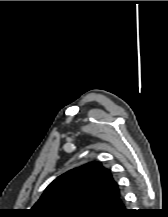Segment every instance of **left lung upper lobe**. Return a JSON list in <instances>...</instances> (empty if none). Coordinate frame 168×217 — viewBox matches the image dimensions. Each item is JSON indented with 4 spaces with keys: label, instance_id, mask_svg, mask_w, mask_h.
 <instances>
[{
    "label": "left lung upper lobe",
    "instance_id": "1",
    "mask_svg": "<svg viewBox=\"0 0 168 217\" xmlns=\"http://www.w3.org/2000/svg\"><path fill=\"white\" fill-rule=\"evenodd\" d=\"M119 195L110 170L91 162L50 183L31 213L35 217H99Z\"/></svg>",
    "mask_w": 168,
    "mask_h": 217
}]
</instances>
